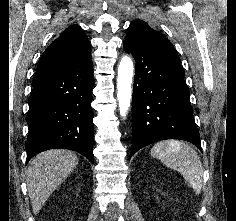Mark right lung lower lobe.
I'll return each instance as SVG.
<instances>
[{
	"instance_id": "98d812e1",
	"label": "right lung lower lobe",
	"mask_w": 236,
	"mask_h": 221,
	"mask_svg": "<svg viewBox=\"0 0 236 221\" xmlns=\"http://www.w3.org/2000/svg\"><path fill=\"white\" fill-rule=\"evenodd\" d=\"M92 63L33 80L27 123V162L54 148L74 150L93 162Z\"/></svg>"
}]
</instances>
